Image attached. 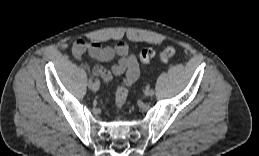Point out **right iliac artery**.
Listing matches in <instances>:
<instances>
[{
    "label": "right iliac artery",
    "mask_w": 259,
    "mask_h": 156,
    "mask_svg": "<svg viewBox=\"0 0 259 156\" xmlns=\"http://www.w3.org/2000/svg\"><path fill=\"white\" fill-rule=\"evenodd\" d=\"M85 67L88 70V72L90 73V68L87 63H85ZM91 86H92V76L90 75L89 82H87V87H91Z\"/></svg>",
    "instance_id": "1"
}]
</instances>
